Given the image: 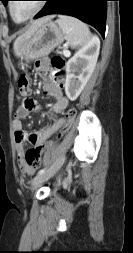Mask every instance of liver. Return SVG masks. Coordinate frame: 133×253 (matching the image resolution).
Instances as JSON below:
<instances>
[{"label":"liver","mask_w":133,"mask_h":253,"mask_svg":"<svg viewBox=\"0 0 133 253\" xmlns=\"http://www.w3.org/2000/svg\"><path fill=\"white\" fill-rule=\"evenodd\" d=\"M54 16L50 15V16H46V17H42L36 21H33L31 23V25L29 26L28 30L23 33L22 35H20L19 37L16 38V40L14 41L13 44V49H14V53L16 55H18V50L20 48V46L22 45V43L28 39L32 34L35 33V31L44 23L50 21Z\"/></svg>","instance_id":"liver-1"}]
</instances>
